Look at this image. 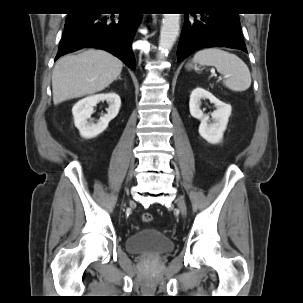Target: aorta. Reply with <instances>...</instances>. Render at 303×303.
<instances>
[{"label":"aorta","mask_w":303,"mask_h":303,"mask_svg":"<svg viewBox=\"0 0 303 303\" xmlns=\"http://www.w3.org/2000/svg\"><path fill=\"white\" fill-rule=\"evenodd\" d=\"M180 14H164L160 30L158 58L163 59L172 49L180 30Z\"/></svg>","instance_id":"aorta-1"}]
</instances>
